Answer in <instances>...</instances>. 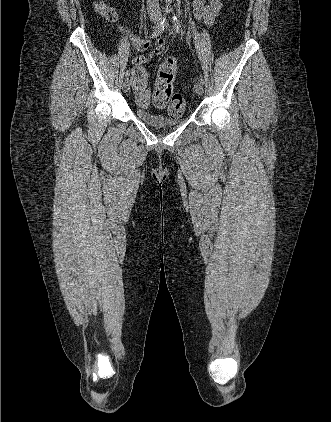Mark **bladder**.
<instances>
[{
    "instance_id": "1",
    "label": "bladder",
    "mask_w": 331,
    "mask_h": 422,
    "mask_svg": "<svg viewBox=\"0 0 331 422\" xmlns=\"http://www.w3.org/2000/svg\"><path fill=\"white\" fill-rule=\"evenodd\" d=\"M135 114L141 121L155 128L177 126L184 119L183 115L172 117L159 112H152L143 108H136Z\"/></svg>"
}]
</instances>
